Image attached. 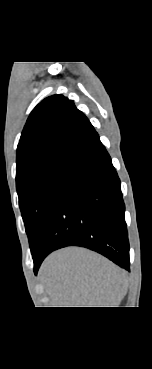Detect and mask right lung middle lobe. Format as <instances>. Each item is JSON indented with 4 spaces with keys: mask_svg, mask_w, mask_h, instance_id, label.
Listing matches in <instances>:
<instances>
[{
    "mask_svg": "<svg viewBox=\"0 0 152 369\" xmlns=\"http://www.w3.org/2000/svg\"><path fill=\"white\" fill-rule=\"evenodd\" d=\"M74 165L70 161L56 162L49 167L32 170L16 181L31 252Z\"/></svg>",
    "mask_w": 152,
    "mask_h": 369,
    "instance_id": "obj_1",
    "label": "right lung middle lobe"
}]
</instances>
